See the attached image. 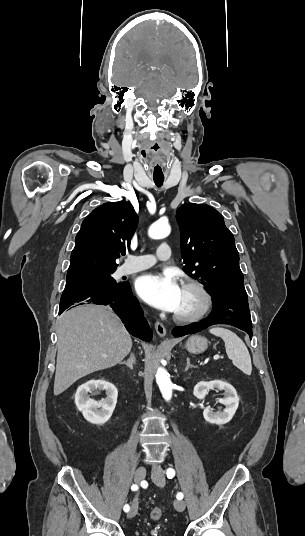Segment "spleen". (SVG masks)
Listing matches in <instances>:
<instances>
[{
  "instance_id": "3e777b00",
  "label": "spleen",
  "mask_w": 305,
  "mask_h": 536,
  "mask_svg": "<svg viewBox=\"0 0 305 536\" xmlns=\"http://www.w3.org/2000/svg\"><path fill=\"white\" fill-rule=\"evenodd\" d=\"M210 334L219 336L225 342L226 354L232 360L234 366L239 368L241 372L250 376L252 372V364L250 354L242 340L225 328H211Z\"/></svg>"
}]
</instances>
